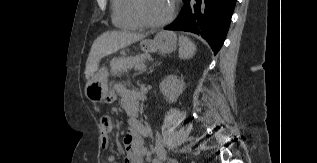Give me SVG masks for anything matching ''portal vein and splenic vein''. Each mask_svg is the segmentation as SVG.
Here are the masks:
<instances>
[{"instance_id": "18ae733b", "label": "portal vein and splenic vein", "mask_w": 317, "mask_h": 163, "mask_svg": "<svg viewBox=\"0 0 317 163\" xmlns=\"http://www.w3.org/2000/svg\"><path fill=\"white\" fill-rule=\"evenodd\" d=\"M144 68H145V65H138L135 67V69H137V70H142Z\"/></svg>"}]
</instances>
